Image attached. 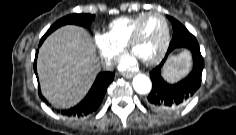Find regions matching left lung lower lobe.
I'll return each instance as SVG.
<instances>
[{
    "label": "left lung lower lobe",
    "instance_id": "0a47b994",
    "mask_svg": "<svg viewBox=\"0 0 236 135\" xmlns=\"http://www.w3.org/2000/svg\"><path fill=\"white\" fill-rule=\"evenodd\" d=\"M174 34L168 51L160 65L150 72L152 90L148 95V105L162 113L172 112L187 103L201 86L204 61L196 38L177 20L169 18ZM177 48H187L193 55V69L190 74L176 84H168L161 77V68L170 52Z\"/></svg>",
    "mask_w": 236,
    "mask_h": 135
}]
</instances>
